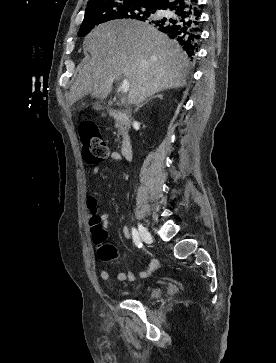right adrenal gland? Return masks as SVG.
<instances>
[{
  "instance_id": "1",
  "label": "right adrenal gland",
  "mask_w": 276,
  "mask_h": 363,
  "mask_svg": "<svg viewBox=\"0 0 276 363\" xmlns=\"http://www.w3.org/2000/svg\"><path fill=\"white\" fill-rule=\"evenodd\" d=\"M154 97H158V98H160V99H162L163 98V96H162V94H158V95H156V96H152V97H150L149 99H147L146 101H145V103H143V104H141L140 106H138L137 108H136V110L135 111H138V109L139 108H141L143 105H145L149 100H151L152 98H154Z\"/></svg>"
}]
</instances>
